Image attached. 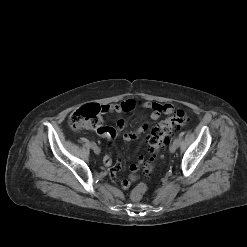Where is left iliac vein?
<instances>
[{"mask_svg":"<svg viewBox=\"0 0 247 247\" xmlns=\"http://www.w3.org/2000/svg\"><path fill=\"white\" fill-rule=\"evenodd\" d=\"M178 145L175 144L174 142L170 145L169 150L171 153H174L177 149Z\"/></svg>","mask_w":247,"mask_h":247,"instance_id":"left-iliac-vein-1","label":"left iliac vein"}]
</instances>
